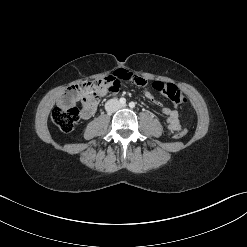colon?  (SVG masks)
Listing matches in <instances>:
<instances>
[{"instance_id": "5ec220e1", "label": "colon", "mask_w": 247, "mask_h": 247, "mask_svg": "<svg viewBox=\"0 0 247 247\" xmlns=\"http://www.w3.org/2000/svg\"><path fill=\"white\" fill-rule=\"evenodd\" d=\"M120 81L119 78L108 76L96 82L76 86L72 91L63 96L59 104L53 109L51 113L53 123L61 131L65 133L71 132L80 116V110L74 103L76 96L82 94V100L85 104L94 105L97 103L102 89H117L120 86ZM133 82L141 84L144 81L143 78L136 77ZM152 87L176 105H183L187 102V98L173 84L156 81L152 83ZM186 134V130H181L174 134V138L181 139Z\"/></svg>"}]
</instances>
